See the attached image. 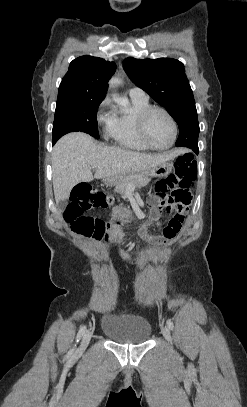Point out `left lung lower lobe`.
Wrapping results in <instances>:
<instances>
[{
    "instance_id": "obj_1",
    "label": "left lung lower lobe",
    "mask_w": 247,
    "mask_h": 407,
    "mask_svg": "<svg viewBox=\"0 0 247 407\" xmlns=\"http://www.w3.org/2000/svg\"><path fill=\"white\" fill-rule=\"evenodd\" d=\"M190 149H192L196 154H198V145H191L190 147H189Z\"/></svg>"
}]
</instances>
